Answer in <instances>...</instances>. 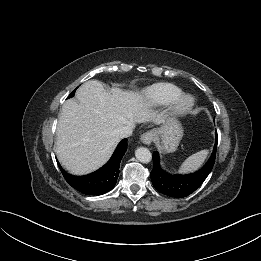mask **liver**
<instances>
[{"mask_svg": "<svg viewBox=\"0 0 261 261\" xmlns=\"http://www.w3.org/2000/svg\"><path fill=\"white\" fill-rule=\"evenodd\" d=\"M77 100L62 106L56 135V153L70 173L84 175L104 165L120 141V128L128 124L163 123V113L139 92L112 88L106 91L97 80L82 84Z\"/></svg>", "mask_w": 261, "mask_h": 261, "instance_id": "6515ba94", "label": "liver"}]
</instances>
